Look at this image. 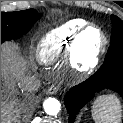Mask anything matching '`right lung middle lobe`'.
<instances>
[{"instance_id": "1", "label": "right lung middle lobe", "mask_w": 123, "mask_h": 123, "mask_svg": "<svg viewBox=\"0 0 123 123\" xmlns=\"http://www.w3.org/2000/svg\"><path fill=\"white\" fill-rule=\"evenodd\" d=\"M40 17L35 9L1 12V43L23 36Z\"/></svg>"}]
</instances>
